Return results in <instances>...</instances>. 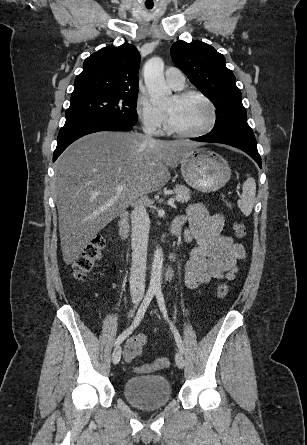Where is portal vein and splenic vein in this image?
<instances>
[{"label":"portal vein and splenic vein","instance_id":"obj_1","mask_svg":"<svg viewBox=\"0 0 307 445\" xmlns=\"http://www.w3.org/2000/svg\"><path fill=\"white\" fill-rule=\"evenodd\" d=\"M116 188L117 190H123L124 184H116ZM167 204H170V206H174V198H169V200H167Z\"/></svg>","mask_w":307,"mask_h":445}]
</instances>
